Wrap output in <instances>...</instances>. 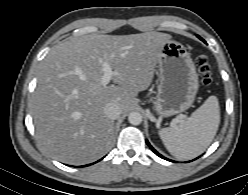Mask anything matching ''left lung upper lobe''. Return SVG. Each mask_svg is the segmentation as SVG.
<instances>
[{
  "label": "left lung upper lobe",
  "instance_id": "1",
  "mask_svg": "<svg viewBox=\"0 0 248 195\" xmlns=\"http://www.w3.org/2000/svg\"><path fill=\"white\" fill-rule=\"evenodd\" d=\"M198 38H200L202 41H204L200 36H198Z\"/></svg>",
  "mask_w": 248,
  "mask_h": 195
}]
</instances>
